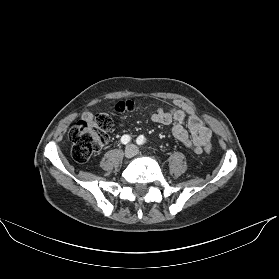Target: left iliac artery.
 I'll list each match as a JSON object with an SVG mask.
<instances>
[{
  "label": "left iliac artery",
  "instance_id": "left-iliac-artery-1",
  "mask_svg": "<svg viewBox=\"0 0 279 279\" xmlns=\"http://www.w3.org/2000/svg\"><path fill=\"white\" fill-rule=\"evenodd\" d=\"M137 144L138 145H142V144H145L146 143V139L144 136L140 135L137 140H136Z\"/></svg>",
  "mask_w": 279,
  "mask_h": 279
}]
</instances>
